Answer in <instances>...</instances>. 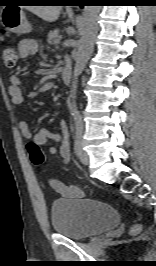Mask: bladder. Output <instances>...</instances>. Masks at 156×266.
Wrapping results in <instances>:
<instances>
[{"label": "bladder", "mask_w": 156, "mask_h": 266, "mask_svg": "<svg viewBox=\"0 0 156 266\" xmlns=\"http://www.w3.org/2000/svg\"><path fill=\"white\" fill-rule=\"evenodd\" d=\"M120 221L109 204L88 198L59 199L52 203L51 222L57 234L85 239L114 228Z\"/></svg>", "instance_id": "1"}]
</instances>
